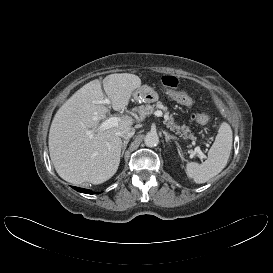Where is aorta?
I'll list each match as a JSON object with an SVG mask.
<instances>
[{
    "label": "aorta",
    "mask_w": 273,
    "mask_h": 273,
    "mask_svg": "<svg viewBox=\"0 0 273 273\" xmlns=\"http://www.w3.org/2000/svg\"><path fill=\"white\" fill-rule=\"evenodd\" d=\"M144 143L147 147H155L159 143V137L157 133L149 132L145 135Z\"/></svg>",
    "instance_id": "aorta-1"
}]
</instances>
